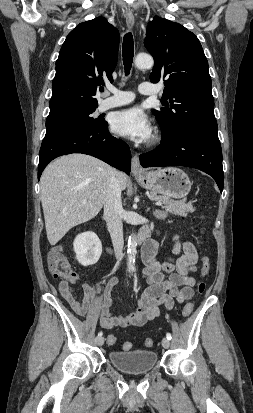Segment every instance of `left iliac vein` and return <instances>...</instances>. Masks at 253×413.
<instances>
[{
	"mask_svg": "<svg viewBox=\"0 0 253 413\" xmlns=\"http://www.w3.org/2000/svg\"><path fill=\"white\" fill-rule=\"evenodd\" d=\"M162 346H163L165 349H168V348H169L170 342H169V340H168L167 338H163V339H162Z\"/></svg>",
	"mask_w": 253,
	"mask_h": 413,
	"instance_id": "obj_1",
	"label": "left iliac vein"
}]
</instances>
